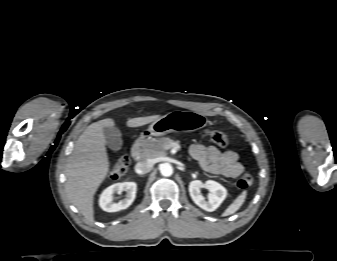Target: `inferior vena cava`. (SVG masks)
Returning <instances> with one entry per match:
<instances>
[{"mask_svg": "<svg viewBox=\"0 0 337 261\" xmlns=\"http://www.w3.org/2000/svg\"><path fill=\"white\" fill-rule=\"evenodd\" d=\"M152 167L153 162L151 160H143L135 165V172L140 175L146 174L151 170Z\"/></svg>", "mask_w": 337, "mask_h": 261, "instance_id": "inferior-vena-cava-1", "label": "inferior vena cava"}]
</instances>
